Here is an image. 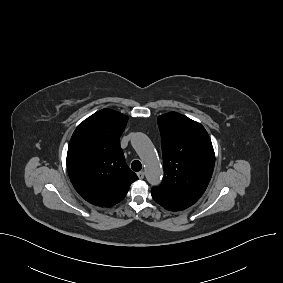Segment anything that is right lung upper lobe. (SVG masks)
Segmentation results:
<instances>
[{
	"mask_svg": "<svg viewBox=\"0 0 283 283\" xmlns=\"http://www.w3.org/2000/svg\"><path fill=\"white\" fill-rule=\"evenodd\" d=\"M128 117L102 109L85 119L74 131L66 165L76 191L89 203L111 207L127 194L138 179L130 170L120 147Z\"/></svg>",
	"mask_w": 283,
	"mask_h": 283,
	"instance_id": "1",
	"label": "right lung upper lobe"
}]
</instances>
